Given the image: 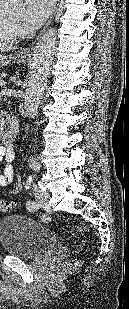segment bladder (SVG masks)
<instances>
[{"mask_svg": "<svg viewBox=\"0 0 129 309\" xmlns=\"http://www.w3.org/2000/svg\"><path fill=\"white\" fill-rule=\"evenodd\" d=\"M0 244L9 255L32 259L54 249L57 238L33 218L13 214L0 221Z\"/></svg>", "mask_w": 129, "mask_h": 309, "instance_id": "bladder-1", "label": "bladder"}]
</instances>
